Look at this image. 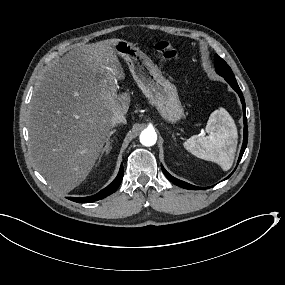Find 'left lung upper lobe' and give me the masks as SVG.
<instances>
[{"mask_svg": "<svg viewBox=\"0 0 285 285\" xmlns=\"http://www.w3.org/2000/svg\"><path fill=\"white\" fill-rule=\"evenodd\" d=\"M215 69H216V72L220 76L225 78V80H229V79H234L235 78L231 68L217 54H215Z\"/></svg>", "mask_w": 285, "mask_h": 285, "instance_id": "5c2ea615", "label": "left lung upper lobe"}]
</instances>
